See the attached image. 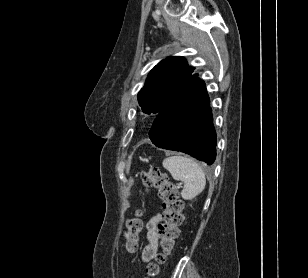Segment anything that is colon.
Listing matches in <instances>:
<instances>
[{
	"label": "colon",
	"mask_w": 308,
	"mask_h": 278,
	"mask_svg": "<svg viewBox=\"0 0 308 278\" xmlns=\"http://www.w3.org/2000/svg\"><path fill=\"white\" fill-rule=\"evenodd\" d=\"M140 179L144 189L155 188L158 190L163 207V222L156 229L161 252L156 253L154 262L149 263L146 267L147 275L152 277L159 274L160 265L166 261V257L175 246L179 234V226L183 221V202L179 197L177 187L158 168L142 171ZM142 228L143 222L140 218V213L127 220L125 248L129 253H134L138 249Z\"/></svg>",
	"instance_id": "obj_1"
}]
</instances>
